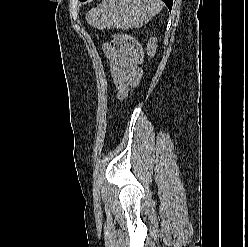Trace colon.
I'll return each instance as SVG.
<instances>
[{
    "mask_svg": "<svg viewBox=\"0 0 248 247\" xmlns=\"http://www.w3.org/2000/svg\"><path fill=\"white\" fill-rule=\"evenodd\" d=\"M114 40L121 41L127 45H129L134 51L136 61L139 65L143 63L144 53L141 45L131 36L126 34H114Z\"/></svg>",
    "mask_w": 248,
    "mask_h": 247,
    "instance_id": "obj_1",
    "label": "colon"
}]
</instances>
